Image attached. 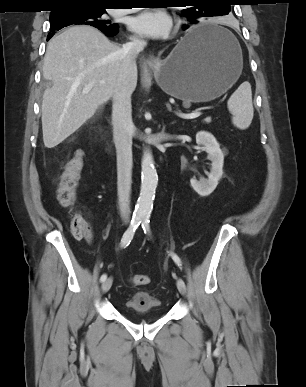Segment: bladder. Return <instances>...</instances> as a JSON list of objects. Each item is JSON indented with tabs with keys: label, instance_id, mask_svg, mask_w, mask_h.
<instances>
[{
	"label": "bladder",
	"instance_id": "obj_1",
	"mask_svg": "<svg viewBox=\"0 0 306 387\" xmlns=\"http://www.w3.org/2000/svg\"><path fill=\"white\" fill-rule=\"evenodd\" d=\"M124 308L127 314L135 316L137 314H153L162 316L164 314L163 305L160 300L153 297L148 292H137L126 300Z\"/></svg>",
	"mask_w": 306,
	"mask_h": 387
}]
</instances>
